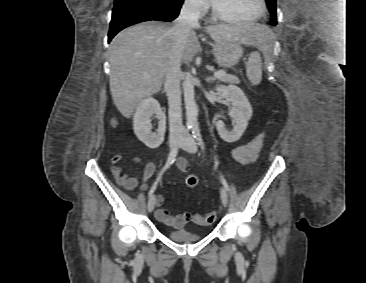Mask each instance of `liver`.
Wrapping results in <instances>:
<instances>
[{"mask_svg": "<svg viewBox=\"0 0 366 283\" xmlns=\"http://www.w3.org/2000/svg\"><path fill=\"white\" fill-rule=\"evenodd\" d=\"M172 27L173 24L158 21L143 22L122 30L111 41L110 91L114 104L124 117L130 118L137 103L161 90L175 44ZM205 30L214 41H238L261 50L271 35L265 26L251 23L212 25ZM199 51L198 38L191 29L182 49L181 63H190Z\"/></svg>", "mask_w": 366, "mask_h": 283, "instance_id": "6515ba94", "label": "liver"}]
</instances>
